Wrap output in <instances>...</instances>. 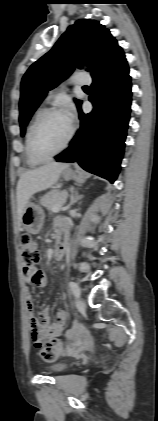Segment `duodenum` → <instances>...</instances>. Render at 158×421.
<instances>
[{
	"label": "duodenum",
	"instance_id": "1",
	"mask_svg": "<svg viewBox=\"0 0 158 421\" xmlns=\"http://www.w3.org/2000/svg\"><path fill=\"white\" fill-rule=\"evenodd\" d=\"M67 245H68V237H67V233H61L58 236L57 239V243H56V248L54 251V257L56 260H60L63 258L66 249H67Z\"/></svg>",
	"mask_w": 158,
	"mask_h": 421
}]
</instances>
